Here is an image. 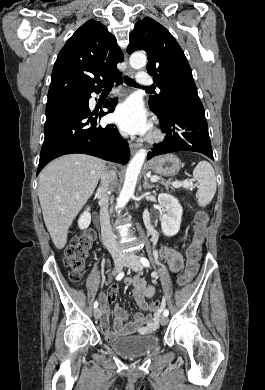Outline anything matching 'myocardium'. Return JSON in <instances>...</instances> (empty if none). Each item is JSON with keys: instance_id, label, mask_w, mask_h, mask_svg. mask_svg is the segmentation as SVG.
<instances>
[{"instance_id": "myocardium-1", "label": "myocardium", "mask_w": 265, "mask_h": 390, "mask_svg": "<svg viewBox=\"0 0 265 390\" xmlns=\"http://www.w3.org/2000/svg\"><path fill=\"white\" fill-rule=\"evenodd\" d=\"M161 138V133L158 130H154L149 139L150 141H158Z\"/></svg>"}]
</instances>
